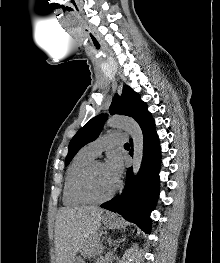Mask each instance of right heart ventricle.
<instances>
[{"label": "right heart ventricle", "instance_id": "obj_1", "mask_svg": "<svg viewBox=\"0 0 220 263\" xmlns=\"http://www.w3.org/2000/svg\"><path fill=\"white\" fill-rule=\"evenodd\" d=\"M85 148L80 150L71 161L65 178L63 189V204L68 207H76L89 203L86 199L81 197L77 191V180L83 169L94 160Z\"/></svg>", "mask_w": 220, "mask_h": 263}]
</instances>
